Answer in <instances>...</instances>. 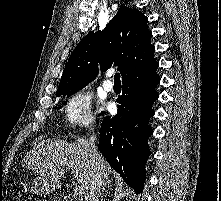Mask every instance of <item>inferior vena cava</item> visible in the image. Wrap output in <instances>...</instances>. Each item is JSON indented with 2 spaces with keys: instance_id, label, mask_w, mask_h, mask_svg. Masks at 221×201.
Listing matches in <instances>:
<instances>
[{
  "instance_id": "1",
  "label": "inferior vena cava",
  "mask_w": 221,
  "mask_h": 201,
  "mask_svg": "<svg viewBox=\"0 0 221 201\" xmlns=\"http://www.w3.org/2000/svg\"><path fill=\"white\" fill-rule=\"evenodd\" d=\"M96 135L93 134L89 138L90 157L92 161L93 173L92 180L89 186V193L87 195L88 201H99L101 187L103 185L102 174L98 163V150L95 145Z\"/></svg>"
}]
</instances>
